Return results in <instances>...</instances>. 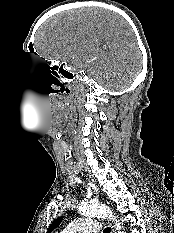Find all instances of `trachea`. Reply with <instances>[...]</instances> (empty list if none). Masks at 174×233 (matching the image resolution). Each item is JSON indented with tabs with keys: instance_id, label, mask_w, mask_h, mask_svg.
Listing matches in <instances>:
<instances>
[{
	"instance_id": "trachea-1",
	"label": "trachea",
	"mask_w": 174,
	"mask_h": 233,
	"mask_svg": "<svg viewBox=\"0 0 174 233\" xmlns=\"http://www.w3.org/2000/svg\"><path fill=\"white\" fill-rule=\"evenodd\" d=\"M111 232V229L109 227H106L103 231V233H110Z\"/></svg>"
}]
</instances>
